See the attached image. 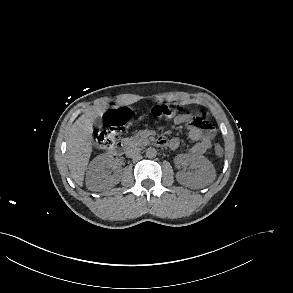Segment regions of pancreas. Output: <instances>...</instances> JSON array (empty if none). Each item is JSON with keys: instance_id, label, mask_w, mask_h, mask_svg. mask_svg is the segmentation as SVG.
Returning a JSON list of instances; mask_svg holds the SVG:
<instances>
[{"instance_id": "1", "label": "pancreas", "mask_w": 293, "mask_h": 293, "mask_svg": "<svg viewBox=\"0 0 293 293\" xmlns=\"http://www.w3.org/2000/svg\"><path fill=\"white\" fill-rule=\"evenodd\" d=\"M126 143L131 146H144L149 143V140L144 131H139L133 137L127 138Z\"/></svg>"}]
</instances>
